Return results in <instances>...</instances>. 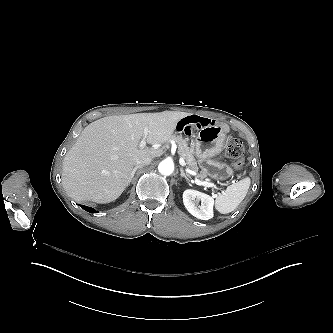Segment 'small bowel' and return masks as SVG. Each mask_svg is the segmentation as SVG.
Returning <instances> with one entry per match:
<instances>
[{
  "label": "small bowel",
  "instance_id": "c3829d8e",
  "mask_svg": "<svg viewBox=\"0 0 333 333\" xmlns=\"http://www.w3.org/2000/svg\"><path fill=\"white\" fill-rule=\"evenodd\" d=\"M210 124V120L198 116L189 115L185 119L179 118L174 122V129L176 131H184L185 133H196L200 128Z\"/></svg>",
  "mask_w": 333,
  "mask_h": 333
}]
</instances>
